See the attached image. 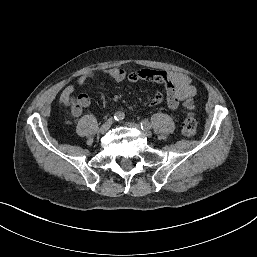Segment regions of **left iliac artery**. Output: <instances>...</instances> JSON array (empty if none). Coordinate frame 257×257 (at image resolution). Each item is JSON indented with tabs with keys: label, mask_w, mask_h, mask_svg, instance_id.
Here are the masks:
<instances>
[{
	"label": "left iliac artery",
	"mask_w": 257,
	"mask_h": 257,
	"mask_svg": "<svg viewBox=\"0 0 257 257\" xmlns=\"http://www.w3.org/2000/svg\"><path fill=\"white\" fill-rule=\"evenodd\" d=\"M140 124H141V129H150L151 128V124L148 120H142Z\"/></svg>",
	"instance_id": "obj_1"
}]
</instances>
